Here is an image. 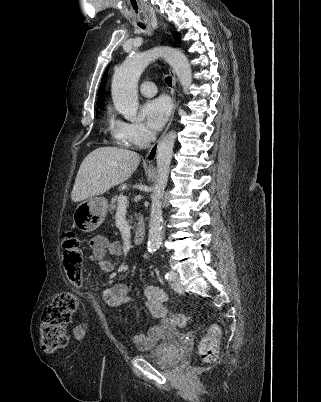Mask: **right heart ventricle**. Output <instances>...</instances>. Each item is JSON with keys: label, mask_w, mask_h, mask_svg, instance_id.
Returning <instances> with one entry per match:
<instances>
[{"label": "right heart ventricle", "mask_w": 321, "mask_h": 402, "mask_svg": "<svg viewBox=\"0 0 321 402\" xmlns=\"http://www.w3.org/2000/svg\"><path fill=\"white\" fill-rule=\"evenodd\" d=\"M107 123L110 130L114 133L116 139L122 144H126L122 137L124 122L119 121L114 116L110 115L108 116Z\"/></svg>", "instance_id": "obj_1"}]
</instances>
